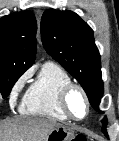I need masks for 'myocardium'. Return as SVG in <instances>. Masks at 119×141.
Listing matches in <instances>:
<instances>
[{"label": "myocardium", "mask_w": 119, "mask_h": 141, "mask_svg": "<svg viewBox=\"0 0 119 141\" xmlns=\"http://www.w3.org/2000/svg\"><path fill=\"white\" fill-rule=\"evenodd\" d=\"M73 91H78L82 95V97L85 101L86 112L82 117L74 116L70 110L69 96L71 95V93ZM59 105H60L61 111L67 116V118L74 120V121L84 120L90 112V100H89V97H88L86 91L84 90V88L82 86H80L79 84L73 83V82L65 85L61 89V91L59 93Z\"/></svg>", "instance_id": "obj_1"}]
</instances>
